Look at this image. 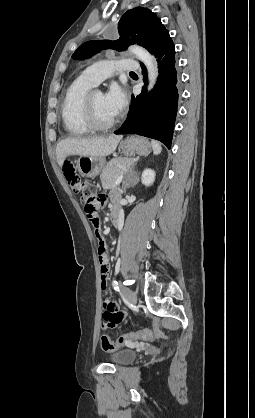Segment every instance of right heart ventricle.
Returning <instances> with one entry per match:
<instances>
[{
	"label": "right heart ventricle",
	"instance_id": "e07e8e85",
	"mask_svg": "<svg viewBox=\"0 0 255 418\" xmlns=\"http://www.w3.org/2000/svg\"><path fill=\"white\" fill-rule=\"evenodd\" d=\"M94 86L81 75L68 87L61 106V117L69 135L84 136L91 132L83 118V102Z\"/></svg>",
	"mask_w": 255,
	"mask_h": 418
}]
</instances>
